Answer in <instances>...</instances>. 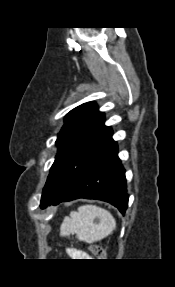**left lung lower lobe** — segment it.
<instances>
[{
  "instance_id": "obj_1",
  "label": "left lung lower lobe",
  "mask_w": 175,
  "mask_h": 287,
  "mask_svg": "<svg viewBox=\"0 0 175 287\" xmlns=\"http://www.w3.org/2000/svg\"><path fill=\"white\" fill-rule=\"evenodd\" d=\"M118 146L113 141L92 164L78 176L56 199L48 205L78 198L109 202L124 214L128 206L125 170L117 155ZM41 206V208H46Z\"/></svg>"
}]
</instances>
